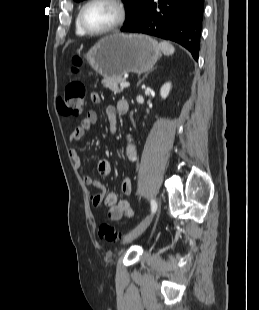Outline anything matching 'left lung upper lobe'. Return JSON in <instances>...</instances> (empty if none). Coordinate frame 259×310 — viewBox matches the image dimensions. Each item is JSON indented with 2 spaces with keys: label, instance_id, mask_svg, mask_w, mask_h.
I'll use <instances>...</instances> for the list:
<instances>
[{
  "label": "left lung upper lobe",
  "instance_id": "left-lung-upper-lobe-1",
  "mask_svg": "<svg viewBox=\"0 0 259 310\" xmlns=\"http://www.w3.org/2000/svg\"><path fill=\"white\" fill-rule=\"evenodd\" d=\"M74 1L80 2L83 0H74ZM148 1L149 0H123V2L126 5L128 13L125 24H128L137 19L140 16L142 10L144 9Z\"/></svg>",
  "mask_w": 259,
  "mask_h": 310
}]
</instances>
